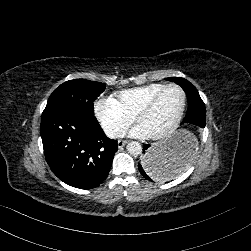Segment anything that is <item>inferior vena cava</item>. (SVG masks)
<instances>
[{"label":"inferior vena cava","mask_w":251,"mask_h":251,"mask_svg":"<svg viewBox=\"0 0 251 251\" xmlns=\"http://www.w3.org/2000/svg\"><path fill=\"white\" fill-rule=\"evenodd\" d=\"M104 131L109 138H119L125 136V132L118 127L108 126L104 129Z\"/></svg>","instance_id":"obj_1"}]
</instances>
